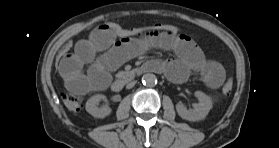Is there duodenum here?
<instances>
[{
	"label": "duodenum",
	"mask_w": 279,
	"mask_h": 148,
	"mask_svg": "<svg viewBox=\"0 0 279 148\" xmlns=\"http://www.w3.org/2000/svg\"><path fill=\"white\" fill-rule=\"evenodd\" d=\"M153 70H157V67L155 65L154 62L152 61H149V62H146L144 63L143 65L139 66L135 71H134V76H140L142 75L143 73L145 72H149V71H153ZM126 84V79L121 77V78H118L116 80H114L111 84V89L114 91V92H118L120 90L123 89V87L125 86Z\"/></svg>",
	"instance_id": "duodenum-1"
}]
</instances>
